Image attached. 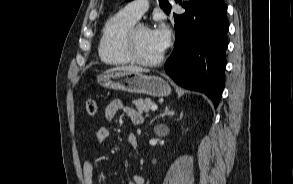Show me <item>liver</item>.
I'll list each match as a JSON object with an SVG mask.
<instances>
[{"mask_svg":"<svg viewBox=\"0 0 293 184\" xmlns=\"http://www.w3.org/2000/svg\"><path fill=\"white\" fill-rule=\"evenodd\" d=\"M108 71H122V72H149L147 69H143L138 66H122V67H115L112 69H109Z\"/></svg>","mask_w":293,"mask_h":184,"instance_id":"6515ba94","label":"liver"}]
</instances>
